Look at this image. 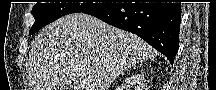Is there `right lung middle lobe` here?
Returning <instances> with one entry per match:
<instances>
[{"instance_id": "dd1d6c3e", "label": "right lung middle lobe", "mask_w": 216, "mask_h": 90, "mask_svg": "<svg viewBox=\"0 0 216 90\" xmlns=\"http://www.w3.org/2000/svg\"><path fill=\"white\" fill-rule=\"evenodd\" d=\"M108 3H36L32 9L35 19L29 34H33L43 26L56 19L72 13H87L88 11L107 5Z\"/></svg>"}]
</instances>
